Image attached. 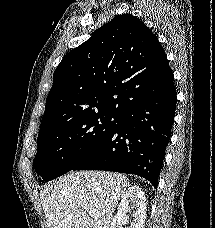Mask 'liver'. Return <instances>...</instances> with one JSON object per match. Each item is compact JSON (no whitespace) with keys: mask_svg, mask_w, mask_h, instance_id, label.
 Masks as SVG:
<instances>
[{"mask_svg":"<svg viewBox=\"0 0 215 228\" xmlns=\"http://www.w3.org/2000/svg\"><path fill=\"white\" fill-rule=\"evenodd\" d=\"M130 180L114 172H68L40 192L47 228H110Z\"/></svg>","mask_w":215,"mask_h":228,"instance_id":"6515ba94","label":"liver"}]
</instances>
